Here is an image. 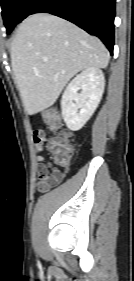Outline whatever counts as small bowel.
Listing matches in <instances>:
<instances>
[{
  "label": "small bowel",
  "mask_w": 134,
  "mask_h": 281,
  "mask_svg": "<svg viewBox=\"0 0 134 281\" xmlns=\"http://www.w3.org/2000/svg\"><path fill=\"white\" fill-rule=\"evenodd\" d=\"M47 141L46 133L39 129L34 131V144L36 152L40 153ZM37 162V187L40 192H46L59 185L64 179L66 172L56 167V161L47 162L41 155L36 156Z\"/></svg>",
  "instance_id": "small-bowel-1"
}]
</instances>
